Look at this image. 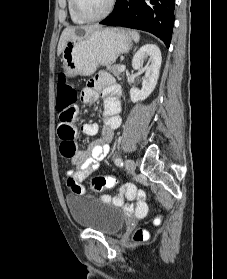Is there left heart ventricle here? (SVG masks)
Returning <instances> with one entry per match:
<instances>
[{
	"mask_svg": "<svg viewBox=\"0 0 227 279\" xmlns=\"http://www.w3.org/2000/svg\"><path fill=\"white\" fill-rule=\"evenodd\" d=\"M77 3L84 15L94 17L105 11L109 0H77Z\"/></svg>",
	"mask_w": 227,
	"mask_h": 279,
	"instance_id": "b2bd125f",
	"label": "left heart ventricle"
}]
</instances>
